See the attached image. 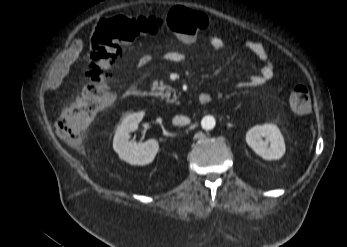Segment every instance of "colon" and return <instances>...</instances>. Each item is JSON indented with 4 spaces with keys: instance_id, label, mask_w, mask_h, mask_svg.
Listing matches in <instances>:
<instances>
[{
    "instance_id": "1",
    "label": "colon",
    "mask_w": 347,
    "mask_h": 247,
    "mask_svg": "<svg viewBox=\"0 0 347 247\" xmlns=\"http://www.w3.org/2000/svg\"><path fill=\"white\" fill-rule=\"evenodd\" d=\"M209 25L208 17L185 7L172 8L165 18L159 15L131 17L115 15L102 19L95 28L90 49L91 70L81 96L61 108L57 131L63 138H75L89 126L93 117L113 101L107 71L120 57L123 47L142 34L155 35L165 26L183 41L194 38ZM291 108L298 113L310 109V94L303 85L293 88L289 96Z\"/></svg>"
}]
</instances>
